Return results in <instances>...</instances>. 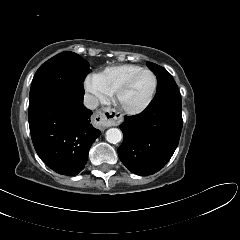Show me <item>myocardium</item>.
Listing matches in <instances>:
<instances>
[{"label":"myocardium","instance_id":"1","mask_svg":"<svg viewBox=\"0 0 240 240\" xmlns=\"http://www.w3.org/2000/svg\"><path fill=\"white\" fill-rule=\"evenodd\" d=\"M143 73H150L153 78H154V87L152 90V93L150 95V97L148 98V100L142 104L139 107H127L122 103V96L126 93V91L131 87V85L133 84V82ZM158 84H159V80H158V76L157 74L151 70V69H142L140 71H138L137 73L133 74L131 77H129L116 91L115 93V99L116 102L121 106V108L128 114L131 115H137V114H141L144 111H146L150 105L152 104L157 89H158Z\"/></svg>","mask_w":240,"mask_h":240}]
</instances>
